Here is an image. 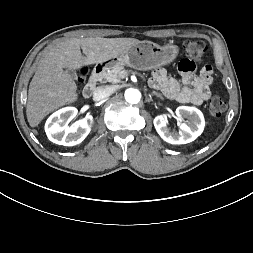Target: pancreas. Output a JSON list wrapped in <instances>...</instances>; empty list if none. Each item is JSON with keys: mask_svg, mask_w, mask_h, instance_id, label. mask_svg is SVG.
<instances>
[{"mask_svg": "<svg viewBox=\"0 0 253 253\" xmlns=\"http://www.w3.org/2000/svg\"><path fill=\"white\" fill-rule=\"evenodd\" d=\"M127 71L122 66H112L108 72H105L102 76L107 82L118 83L121 79L125 78Z\"/></svg>", "mask_w": 253, "mask_h": 253, "instance_id": "obj_1", "label": "pancreas"}]
</instances>
